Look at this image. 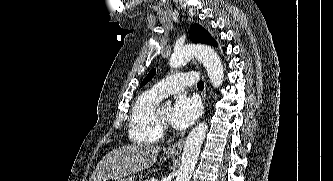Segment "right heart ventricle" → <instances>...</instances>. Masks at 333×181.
I'll return each mask as SVG.
<instances>
[{
	"instance_id": "e07e8e85",
	"label": "right heart ventricle",
	"mask_w": 333,
	"mask_h": 181,
	"mask_svg": "<svg viewBox=\"0 0 333 181\" xmlns=\"http://www.w3.org/2000/svg\"><path fill=\"white\" fill-rule=\"evenodd\" d=\"M162 98L151 90L140 94L135 100L129 122V138L137 144H153L162 136L154 113Z\"/></svg>"
}]
</instances>
